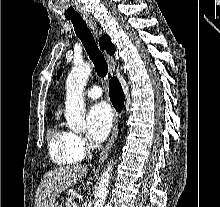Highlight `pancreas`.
I'll use <instances>...</instances> for the list:
<instances>
[{"instance_id": "1", "label": "pancreas", "mask_w": 220, "mask_h": 207, "mask_svg": "<svg viewBox=\"0 0 220 207\" xmlns=\"http://www.w3.org/2000/svg\"><path fill=\"white\" fill-rule=\"evenodd\" d=\"M73 203H74L73 197L68 196L65 202L66 207H72Z\"/></svg>"}]
</instances>
